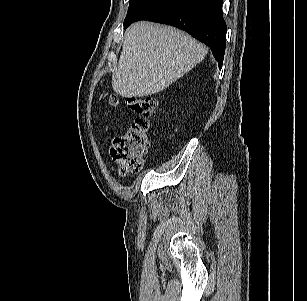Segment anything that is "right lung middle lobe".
Returning <instances> with one entry per match:
<instances>
[{"label": "right lung middle lobe", "mask_w": 307, "mask_h": 301, "mask_svg": "<svg viewBox=\"0 0 307 301\" xmlns=\"http://www.w3.org/2000/svg\"><path fill=\"white\" fill-rule=\"evenodd\" d=\"M164 0H129V9L124 20V27L133 23L140 16L150 11Z\"/></svg>", "instance_id": "1"}]
</instances>
